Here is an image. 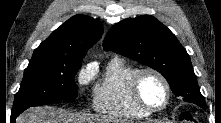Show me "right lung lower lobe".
Returning <instances> with one entry per match:
<instances>
[{
  "mask_svg": "<svg viewBox=\"0 0 221 123\" xmlns=\"http://www.w3.org/2000/svg\"><path fill=\"white\" fill-rule=\"evenodd\" d=\"M19 114H20V112H18V113H12L11 119H12V120H15L16 117H17Z\"/></svg>",
  "mask_w": 221,
  "mask_h": 123,
  "instance_id": "98d812e1",
  "label": "right lung lower lobe"
}]
</instances>
